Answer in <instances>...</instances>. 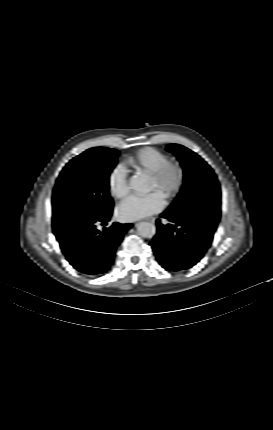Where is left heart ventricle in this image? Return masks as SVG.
I'll use <instances>...</instances> for the list:
<instances>
[{
    "mask_svg": "<svg viewBox=\"0 0 273 430\" xmlns=\"http://www.w3.org/2000/svg\"><path fill=\"white\" fill-rule=\"evenodd\" d=\"M159 189L155 179L151 178V190ZM161 191V190H160ZM162 192V191H161ZM163 193V192H162Z\"/></svg>",
    "mask_w": 273,
    "mask_h": 430,
    "instance_id": "left-heart-ventricle-1",
    "label": "left heart ventricle"
}]
</instances>
